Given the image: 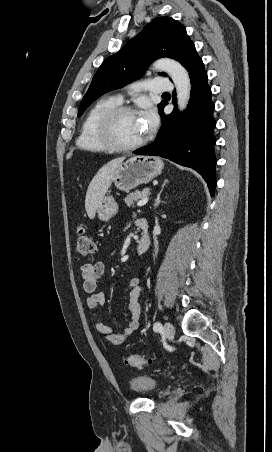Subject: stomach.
Returning a JSON list of instances; mask_svg holds the SVG:
<instances>
[{
  "mask_svg": "<svg viewBox=\"0 0 272 452\" xmlns=\"http://www.w3.org/2000/svg\"><path fill=\"white\" fill-rule=\"evenodd\" d=\"M163 167L162 160L157 157L134 155L118 166L112 181L119 190L128 192L160 175ZM117 212L118 205L112 196H105L96 209L98 218L105 222Z\"/></svg>",
  "mask_w": 272,
  "mask_h": 452,
  "instance_id": "0dacf381",
  "label": "stomach"
}]
</instances>
